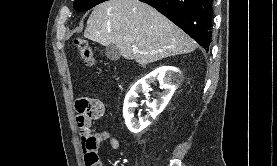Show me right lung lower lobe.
Returning <instances> with one entry per match:
<instances>
[{
    "label": "right lung lower lobe",
    "instance_id": "right-lung-lower-lobe-1",
    "mask_svg": "<svg viewBox=\"0 0 277 166\" xmlns=\"http://www.w3.org/2000/svg\"><path fill=\"white\" fill-rule=\"evenodd\" d=\"M165 15L206 51L212 34L213 0H140Z\"/></svg>",
    "mask_w": 277,
    "mask_h": 166
}]
</instances>
